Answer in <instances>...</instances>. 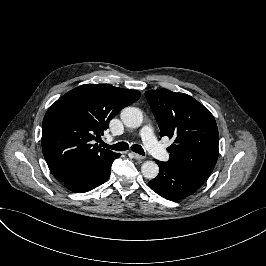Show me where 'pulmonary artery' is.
Here are the masks:
<instances>
[{"label": "pulmonary artery", "instance_id": "e3ab8cb5", "mask_svg": "<svg viewBox=\"0 0 266 266\" xmlns=\"http://www.w3.org/2000/svg\"><path fill=\"white\" fill-rule=\"evenodd\" d=\"M141 138L143 141H145V146L147 149H149L150 153L158 156V158L161 160L166 159L168 152L167 150L162 149L160 146H158V139L153 135L152 127H145L142 131ZM108 141H112V138H109Z\"/></svg>", "mask_w": 266, "mask_h": 266}]
</instances>
